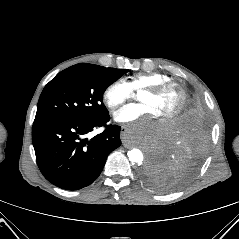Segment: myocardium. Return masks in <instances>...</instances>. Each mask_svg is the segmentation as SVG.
Returning a JSON list of instances; mask_svg holds the SVG:
<instances>
[{
	"mask_svg": "<svg viewBox=\"0 0 239 239\" xmlns=\"http://www.w3.org/2000/svg\"><path fill=\"white\" fill-rule=\"evenodd\" d=\"M168 90H175L179 96V100L175 109H173L171 112L167 113L163 117L165 120L172 119L181 113L187 100L186 91L179 84L173 81H168L160 83L158 85L150 86L141 91V93L146 92L158 96L165 93Z\"/></svg>",
	"mask_w": 239,
	"mask_h": 239,
	"instance_id": "obj_1",
	"label": "myocardium"
}]
</instances>
